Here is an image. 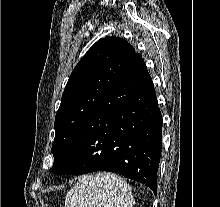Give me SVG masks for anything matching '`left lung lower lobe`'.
Listing matches in <instances>:
<instances>
[{
	"mask_svg": "<svg viewBox=\"0 0 220 207\" xmlns=\"http://www.w3.org/2000/svg\"><path fill=\"white\" fill-rule=\"evenodd\" d=\"M161 138L162 117L153 82L136 53L50 171L70 175L116 172L157 194Z\"/></svg>",
	"mask_w": 220,
	"mask_h": 207,
	"instance_id": "left-lung-lower-lobe-1",
	"label": "left lung lower lobe"
}]
</instances>
